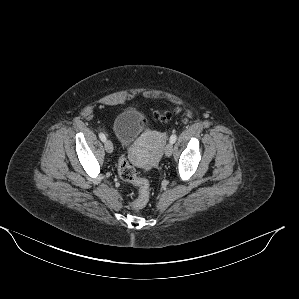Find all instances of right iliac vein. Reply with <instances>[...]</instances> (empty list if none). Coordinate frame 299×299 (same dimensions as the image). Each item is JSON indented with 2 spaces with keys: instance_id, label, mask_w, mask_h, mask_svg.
<instances>
[{
  "instance_id": "right-iliac-vein-1",
  "label": "right iliac vein",
  "mask_w": 299,
  "mask_h": 299,
  "mask_svg": "<svg viewBox=\"0 0 299 299\" xmlns=\"http://www.w3.org/2000/svg\"><path fill=\"white\" fill-rule=\"evenodd\" d=\"M104 146H105V150L108 152V153H112L114 148H113V144L110 140H105L104 142Z\"/></svg>"
}]
</instances>
